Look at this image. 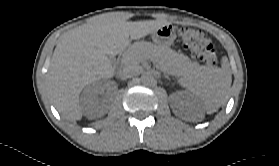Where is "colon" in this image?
Listing matches in <instances>:
<instances>
[{"mask_svg": "<svg viewBox=\"0 0 279 166\" xmlns=\"http://www.w3.org/2000/svg\"><path fill=\"white\" fill-rule=\"evenodd\" d=\"M178 34L183 46L190 50L194 58L210 65H218L216 50L212 42L200 30L182 27Z\"/></svg>", "mask_w": 279, "mask_h": 166, "instance_id": "obj_1", "label": "colon"}]
</instances>
